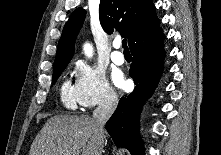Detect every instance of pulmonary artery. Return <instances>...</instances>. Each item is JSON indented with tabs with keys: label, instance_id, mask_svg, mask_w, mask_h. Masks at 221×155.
I'll return each instance as SVG.
<instances>
[{
	"label": "pulmonary artery",
	"instance_id": "pulmonary-artery-1",
	"mask_svg": "<svg viewBox=\"0 0 221 155\" xmlns=\"http://www.w3.org/2000/svg\"><path fill=\"white\" fill-rule=\"evenodd\" d=\"M121 46V43L119 40H116L113 42L114 51L111 53V60L116 65H122L125 62L124 55L118 50Z\"/></svg>",
	"mask_w": 221,
	"mask_h": 155
}]
</instances>
